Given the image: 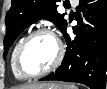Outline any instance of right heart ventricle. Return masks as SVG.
Wrapping results in <instances>:
<instances>
[{"instance_id": "obj_1", "label": "right heart ventricle", "mask_w": 107, "mask_h": 89, "mask_svg": "<svg viewBox=\"0 0 107 89\" xmlns=\"http://www.w3.org/2000/svg\"><path fill=\"white\" fill-rule=\"evenodd\" d=\"M23 40V38H21L20 40H18V42L15 44L12 54H11V68L12 71L14 73V75L18 78V79H23L24 77L20 75V73L17 71L16 66H15V56H16V52L17 49L21 43V41Z\"/></svg>"}]
</instances>
